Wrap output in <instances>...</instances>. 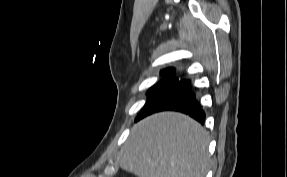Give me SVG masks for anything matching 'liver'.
Returning <instances> with one entry per match:
<instances>
[{"mask_svg":"<svg viewBox=\"0 0 287 177\" xmlns=\"http://www.w3.org/2000/svg\"><path fill=\"white\" fill-rule=\"evenodd\" d=\"M208 134L177 112L153 114L134 125L121 149L120 167L138 177H204Z\"/></svg>","mask_w":287,"mask_h":177,"instance_id":"6515ba94","label":"liver"}]
</instances>
